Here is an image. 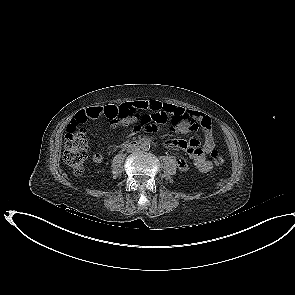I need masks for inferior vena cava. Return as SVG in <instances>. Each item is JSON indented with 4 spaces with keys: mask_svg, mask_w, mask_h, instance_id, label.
<instances>
[{
    "mask_svg": "<svg viewBox=\"0 0 295 295\" xmlns=\"http://www.w3.org/2000/svg\"><path fill=\"white\" fill-rule=\"evenodd\" d=\"M139 150V148L137 146H133V147H130L127 149V152L131 153V152H134V151H137Z\"/></svg>",
    "mask_w": 295,
    "mask_h": 295,
    "instance_id": "1",
    "label": "inferior vena cava"
}]
</instances>
